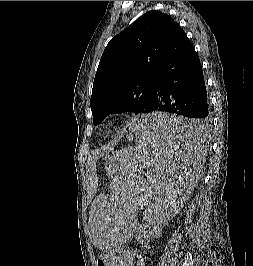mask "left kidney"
I'll return each instance as SVG.
<instances>
[{
	"label": "left kidney",
	"instance_id": "obj_1",
	"mask_svg": "<svg viewBox=\"0 0 253 266\" xmlns=\"http://www.w3.org/2000/svg\"><path fill=\"white\" fill-rule=\"evenodd\" d=\"M161 221H155L150 225H140V228H135L133 231L136 233V239L138 241L144 242L146 240H149L151 238V236L154 235V233L157 232V230L159 229V225H160ZM144 227H147L148 230L146 231Z\"/></svg>",
	"mask_w": 253,
	"mask_h": 266
}]
</instances>
